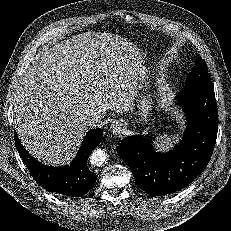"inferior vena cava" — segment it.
<instances>
[{"label": "inferior vena cava", "mask_w": 231, "mask_h": 231, "mask_svg": "<svg viewBox=\"0 0 231 231\" xmlns=\"http://www.w3.org/2000/svg\"><path fill=\"white\" fill-rule=\"evenodd\" d=\"M82 119L88 126H96L100 122V118L96 113H87Z\"/></svg>", "instance_id": "obj_1"}]
</instances>
